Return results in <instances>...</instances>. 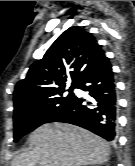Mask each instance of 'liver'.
Returning <instances> with one entry per match:
<instances>
[{
  "label": "liver",
  "instance_id": "liver-1",
  "mask_svg": "<svg viewBox=\"0 0 135 166\" xmlns=\"http://www.w3.org/2000/svg\"><path fill=\"white\" fill-rule=\"evenodd\" d=\"M30 151L11 166H82L105 163L110 146L99 136L67 123L44 124L29 136Z\"/></svg>",
  "mask_w": 135,
  "mask_h": 166
}]
</instances>
